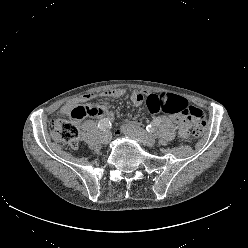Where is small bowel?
Segmentation results:
<instances>
[{
	"label": "small bowel",
	"instance_id": "c3829d8e",
	"mask_svg": "<svg viewBox=\"0 0 248 248\" xmlns=\"http://www.w3.org/2000/svg\"><path fill=\"white\" fill-rule=\"evenodd\" d=\"M124 94L125 91L123 89H110L102 92L101 96L109 97V98H117L123 96ZM145 96H146L145 91L135 90L131 93L130 99L133 105L140 106L143 103ZM93 98H95V94L93 93H86L77 98H74L60 108L59 114L61 116L70 115L74 107L78 106L80 103L90 101ZM88 107L90 109L88 115L90 116L103 117L108 120H112L114 117L113 113L105 106L90 105ZM171 119L180 128L179 130L180 138L184 140L188 139L190 135V130H189L190 122L186 119V117L179 114V115H172Z\"/></svg>",
	"mask_w": 248,
	"mask_h": 248
}]
</instances>
